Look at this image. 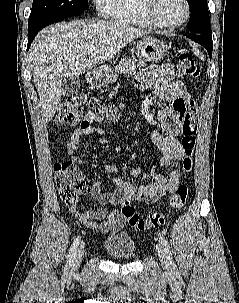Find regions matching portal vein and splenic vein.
Here are the masks:
<instances>
[{
  "instance_id": "obj_1",
  "label": "portal vein and splenic vein",
  "mask_w": 239,
  "mask_h": 303,
  "mask_svg": "<svg viewBox=\"0 0 239 303\" xmlns=\"http://www.w3.org/2000/svg\"><path fill=\"white\" fill-rule=\"evenodd\" d=\"M95 48H89L88 53H91Z\"/></svg>"
}]
</instances>
